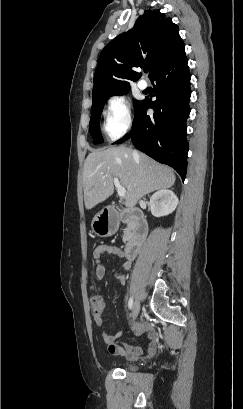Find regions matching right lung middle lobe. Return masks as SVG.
I'll list each match as a JSON object with an SVG mask.
<instances>
[{"instance_id":"dd1d6c3e","label":"right lung middle lobe","mask_w":243,"mask_h":409,"mask_svg":"<svg viewBox=\"0 0 243 409\" xmlns=\"http://www.w3.org/2000/svg\"><path fill=\"white\" fill-rule=\"evenodd\" d=\"M128 90H129V88L121 90V91L116 92V93L111 94V95H123V94H126ZM111 95H108V96H106L104 98H101V99H98V100H95V101H92L91 119H90V123H89V130H90V133H91V135H92V137L94 139V141H93L94 144H99V143L103 142V137H102V135L100 133V124H99L100 114H101V112L103 110L105 101ZM139 104H140V101L136 100L134 102L135 109L138 107Z\"/></svg>"}]
</instances>
